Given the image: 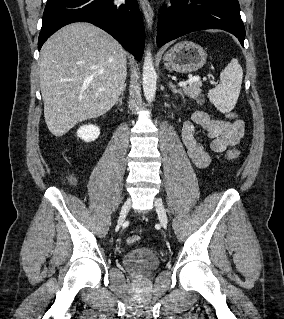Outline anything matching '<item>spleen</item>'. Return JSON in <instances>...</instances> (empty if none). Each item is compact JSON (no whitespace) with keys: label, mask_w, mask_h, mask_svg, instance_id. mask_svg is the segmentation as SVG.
<instances>
[{"label":"spleen","mask_w":284,"mask_h":319,"mask_svg":"<svg viewBox=\"0 0 284 319\" xmlns=\"http://www.w3.org/2000/svg\"><path fill=\"white\" fill-rule=\"evenodd\" d=\"M243 78V70L238 59L231 62L220 73V83L209 90L208 98L222 113L230 112L237 103Z\"/></svg>","instance_id":"obj_1"}]
</instances>
